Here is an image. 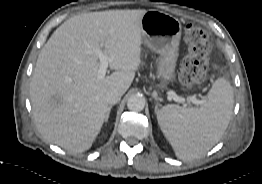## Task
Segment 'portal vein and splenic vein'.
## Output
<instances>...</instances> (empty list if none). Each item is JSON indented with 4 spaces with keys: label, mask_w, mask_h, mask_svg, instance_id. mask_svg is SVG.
Here are the masks:
<instances>
[{
    "label": "portal vein and splenic vein",
    "mask_w": 262,
    "mask_h": 184,
    "mask_svg": "<svg viewBox=\"0 0 262 184\" xmlns=\"http://www.w3.org/2000/svg\"><path fill=\"white\" fill-rule=\"evenodd\" d=\"M95 53H96V55H97V57L99 58V61H100V66H99V70H98V77L104 78L105 75H106V72H107L108 64H109L110 61L113 60V58L105 55L103 53V51H101L100 49H95ZM169 96L174 101L179 102V103L192 102L196 105H201L203 103V101L198 100L195 97L184 98V97H180V96L176 95L174 92H170Z\"/></svg>",
    "instance_id": "portal-vein-and-splenic-vein-1"
}]
</instances>
